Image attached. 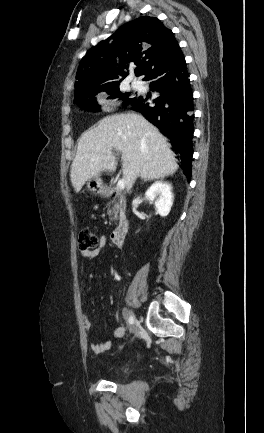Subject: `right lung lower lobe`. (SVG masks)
<instances>
[{
	"label": "right lung lower lobe",
	"instance_id": "1",
	"mask_svg": "<svg viewBox=\"0 0 264 433\" xmlns=\"http://www.w3.org/2000/svg\"><path fill=\"white\" fill-rule=\"evenodd\" d=\"M143 80L150 81V90L159 96L151 99V94L136 95L127 106L140 112L171 140L173 150L179 154L184 174L190 181L194 104L182 52L154 67Z\"/></svg>",
	"mask_w": 264,
	"mask_h": 433
}]
</instances>
